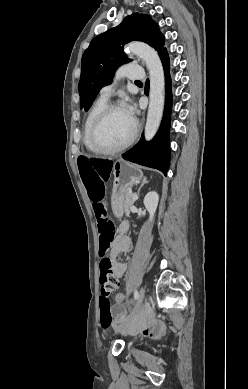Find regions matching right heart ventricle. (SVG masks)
Instances as JSON below:
<instances>
[{
    "instance_id": "obj_1",
    "label": "right heart ventricle",
    "mask_w": 248,
    "mask_h": 389,
    "mask_svg": "<svg viewBox=\"0 0 248 389\" xmlns=\"http://www.w3.org/2000/svg\"><path fill=\"white\" fill-rule=\"evenodd\" d=\"M108 104V99L99 97L97 100L94 101L92 104L90 110L87 113V116L84 121L83 125V143L85 147L93 152H97L95 148L93 147L91 140H90V131L92 124L97 117V115L100 113V111Z\"/></svg>"
}]
</instances>
